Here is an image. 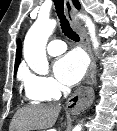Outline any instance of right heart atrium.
<instances>
[{
	"mask_svg": "<svg viewBox=\"0 0 117 131\" xmlns=\"http://www.w3.org/2000/svg\"><path fill=\"white\" fill-rule=\"evenodd\" d=\"M22 78L28 91L36 93L45 100L57 99L64 91V87L60 83L48 76L25 71Z\"/></svg>",
	"mask_w": 117,
	"mask_h": 131,
	"instance_id": "right-heart-atrium-1",
	"label": "right heart atrium"
}]
</instances>
